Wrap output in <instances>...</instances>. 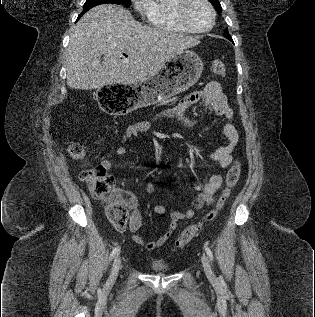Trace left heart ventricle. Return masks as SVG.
I'll return each mask as SVG.
<instances>
[{"mask_svg":"<svg viewBox=\"0 0 315 317\" xmlns=\"http://www.w3.org/2000/svg\"><path fill=\"white\" fill-rule=\"evenodd\" d=\"M187 18L193 27L203 29L209 26L211 15L204 2L194 0L188 7Z\"/></svg>","mask_w":315,"mask_h":317,"instance_id":"obj_1","label":"left heart ventricle"}]
</instances>
